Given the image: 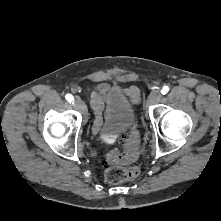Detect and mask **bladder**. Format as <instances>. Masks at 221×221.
<instances>
[{"instance_id": "31cf9c89", "label": "bladder", "mask_w": 221, "mask_h": 221, "mask_svg": "<svg viewBox=\"0 0 221 221\" xmlns=\"http://www.w3.org/2000/svg\"><path fill=\"white\" fill-rule=\"evenodd\" d=\"M136 111L133 102L118 86L112 87L107 95L104 125L101 130L103 136L116 134L136 123Z\"/></svg>"}]
</instances>
